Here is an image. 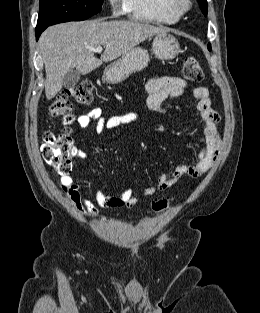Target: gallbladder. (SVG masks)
I'll use <instances>...</instances> for the list:
<instances>
[{"label": "gallbladder", "instance_id": "1", "mask_svg": "<svg viewBox=\"0 0 260 313\" xmlns=\"http://www.w3.org/2000/svg\"><path fill=\"white\" fill-rule=\"evenodd\" d=\"M80 80V73L77 70L69 71L63 79V87L70 89L73 88Z\"/></svg>", "mask_w": 260, "mask_h": 313}]
</instances>
